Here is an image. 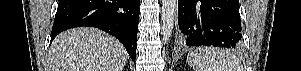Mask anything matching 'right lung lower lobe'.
<instances>
[{"label": "right lung lower lobe", "mask_w": 301, "mask_h": 71, "mask_svg": "<svg viewBox=\"0 0 301 71\" xmlns=\"http://www.w3.org/2000/svg\"><path fill=\"white\" fill-rule=\"evenodd\" d=\"M139 0H59L51 41L62 31L96 27L115 36L136 59Z\"/></svg>", "instance_id": "1"}]
</instances>
